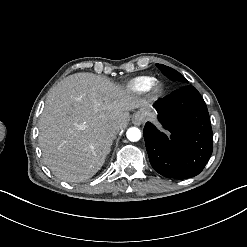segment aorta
Here are the masks:
<instances>
[{
    "mask_svg": "<svg viewBox=\"0 0 247 247\" xmlns=\"http://www.w3.org/2000/svg\"><path fill=\"white\" fill-rule=\"evenodd\" d=\"M126 136L129 141L136 142L141 138V131L136 127H132L128 129Z\"/></svg>",
    "mask_w": 247,
    "mask_h": 247,
    "instance_id": "aorta-1",
    "label": "aorta"
}]
</instances>
